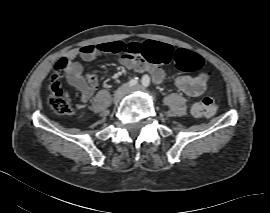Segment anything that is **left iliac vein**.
Listing matches in <instances>:
<instances>
[{"instance_id": "1", "label": "left iliac vein", "mask_w": 270, "mask_h": 213, "mask_svg": "<svg viewBox=\"0 0 270 213\" xmlns=\"http://www.w3.org/2000/svg\"><path fill=\"white\" fill-rule=\"evenodd\" d=\"M138 91H144L143 87L140 85H135L131 88L126 89L125 93H131V92H138Z\"/></svg>"}]
</instances>
